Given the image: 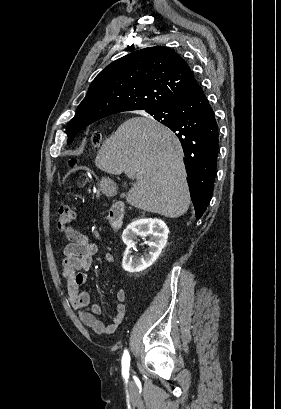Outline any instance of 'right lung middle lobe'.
Masks as SVG:
<instances>
[{"instance_id":"dd1d6c3e","label":"right lung middle lobe","mask_w":281,"mask_h":409,"mask_svg":"<svg viewBox=\"0 0 281 409\" xmlns=\"http://www.w3.org/2000/svg\"><path fill=\"white\" fill-rule=\"evenodd\" d=\"M156 120H158V121L161 122L162 124H165V123L167 122V120H164V119H162V118H158V119H156ZM83 128H85V127H67V129H66V133H67V135H68V142H67V143L70 144V143L73 141L75 135H76L80 130H82Z\"/></svg>"}]
</instances>
